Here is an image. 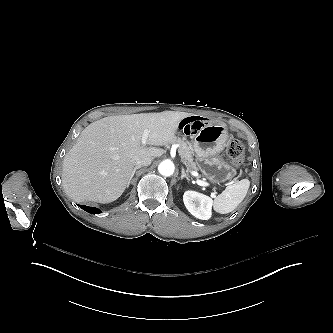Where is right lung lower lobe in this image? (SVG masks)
I'll use <instances>...</instances> for the list:
<instances>
[{"instance_id":"1","label":"right lung lower lobe","mask_w":333,"mask_h":333,"mask_svg":"<svg viewBox=\"0 0 333 333\" xmlns=\"http://www.w3.org/2000/svg\"><path fill=\"white\" fill-rule=\"evenodd\" d=\"M83 210L87 211L88 213H92V214H98V213H101V211L97 208H94V207H88V206H85V205H81L80 206Z\"/></svg>"}]
</instances>
